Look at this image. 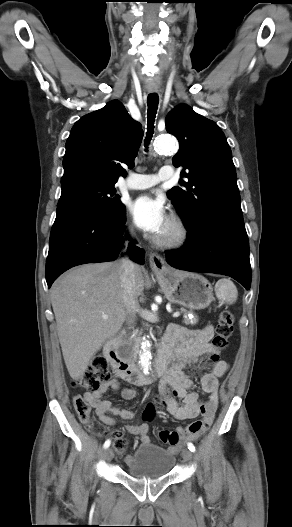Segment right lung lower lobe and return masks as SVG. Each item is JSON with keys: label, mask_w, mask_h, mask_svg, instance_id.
Wrapping results in <instances>:
<instances>
[{"label": "right lung lower lobe", "mask_w": 292, "mask_h": 527, "mask_svg": "<svg viewBox=\"0 0 292 527\" xmlns=\"http://www.w3.org/2000/svg\"><path fill=\"white\" fill-rule=\"evenodd\" d=\"M125 221V212L113 220L85 207L57 209L46 261L48 287L71 267L115 260L124 246ZM129 253L132 260L144 263L143 249L132 244Z\"/></svg>", "instance_id": "98d812e1"}]
</instances>
